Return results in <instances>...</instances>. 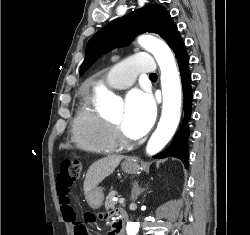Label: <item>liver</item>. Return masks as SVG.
Instances as JSON below:
<instances>
[{"mask_svg":"<svg viewBox=\"0 0 250 235\" xmlns=\"http://www.w3.org/2000/svg\"><path fill=\"white\" fill-rule=\"evenodd\" d=\"M123 158L121 155L108 156L94 162L89 167L83 186L86 198L91 190L114 172Z\"/></svg>","mask_w":250,"mask_h":235,"instance_id":"obj_1","label":"liver"}]
</instances>
